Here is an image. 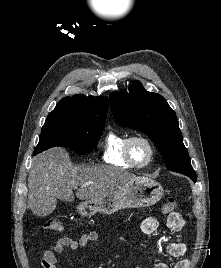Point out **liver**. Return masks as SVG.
<instances>
[{
    "label": "liver",
    "mask_w": 221,
    "mask_h": 268,
    "mask_svg": "<svg viewBox=\"0 0 221 268\" xmlns=\"http://www.w3.org/2000/svg\"><path fill=\"white\" fill-rule=\"evenodd\" d=\"M134 177L111 166H73L65 149L52 148L33 158L28 176V207L33 214L44 217L53 212L57 199L74 201V187L80 186L76 192L80 200H95Z\"/></svg>",
    "instance_id": "obj_1"
}]
</instances>
